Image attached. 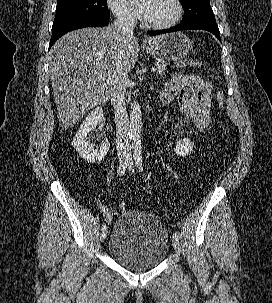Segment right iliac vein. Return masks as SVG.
Masks as SVG:
<instances>
[{
	"mask_svg": "<svg viewBox=\"0 0 272 303\" xmlns=\"http://www.w3.org/2000/svg\"><path fill=\"white\" fill-rule=\"evenodd\" d=\"M119 159H120V164L125 163V160H126V159H125V156L121 155ZM107 233H108L107 228H106L105 230H102V232H101V234H100V240H101L102 242L106 239Z\"/></svg>",
	"mask_w": 272,
	"mask_h": 303,
	"instance_id": "1",
	"label": "right iliac vein"
}]
</instances>
